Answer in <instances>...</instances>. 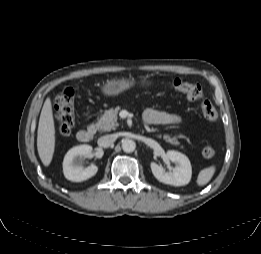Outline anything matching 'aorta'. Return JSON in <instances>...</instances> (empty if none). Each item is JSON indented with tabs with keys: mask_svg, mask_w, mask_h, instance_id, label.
<instances>
[{
	"mask_svg": "<svg viewBox=\"0 0 261 254\" xmlns=\"http://www.w3.org/2000/svg\"><path fill=\"white\" fill-rule=\"evenodd\" d=\"M136 143L131 139H125L122 141V149L126 153H131L135 150Z\"/></svg>",
	"mask_w": 261,
	"mask_h": 254,
	"instance_id": "1",
	"label": "aorta"
}]
</instances>
